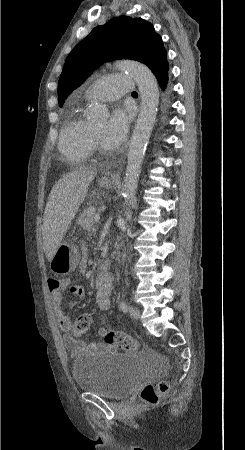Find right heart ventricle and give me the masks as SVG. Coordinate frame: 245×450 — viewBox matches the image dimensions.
<instances>
[{"instance_id": "1", "label": "right heart ventricle", "mask_w": 245, "mask_h": 450, "mask_svg": "<svg viewBox=\"0 0 245 450\" xmlns=\"http://www.w3.org/2000/svg\"><path fill=\"white\" fill-rule=\"evenodd\" d=\"M91 128V123L74 109L60 133L61 153L77 162L86 161L93 150Z\"/></svg>"}]
</instances>
